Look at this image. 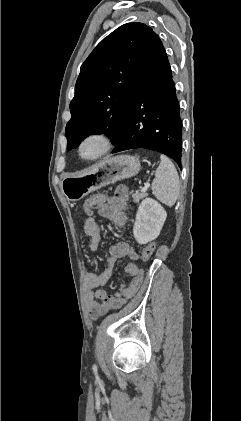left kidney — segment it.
Returning a JSON list of instances; mask_svg holds the SVG:
<instances>
[{
	"mask_svg": "<svg viewBox=\"0 0 241 421\" xmlns=\"http://www.w3.org/2000/svg\"><path fill=\"white\" fill-rule=\"evenodd\" d=\"M167 213L156 200L146 198L136 213L133 235L139 244H147L156 239L164 225Z\"/></svg>",
	"mask_w": 241,
	"mask_h": 421,
	"instance_id": "left-kidney-1",
	"label": "left kidney"
}]
</instances>
